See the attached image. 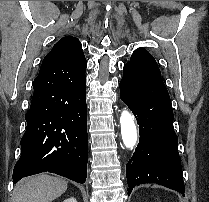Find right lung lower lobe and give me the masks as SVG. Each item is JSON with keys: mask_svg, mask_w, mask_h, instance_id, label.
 <instances>
[{"mask_svg": "<svg viewBox=\"0 0 209 202\" xmlns=\"http://www.w3.org/2000/svg\"><path fill=\"white\" fill-rule=\"evenodd\" d=\"M59 61L44 58L33 82L26 131L13 181L51 172L78 183L87 177L86 77L73 79L54 70Z\"/></svg>", "mask_w": 209, "mask_h": 202, "instance_id": "obj_1", "label": "right lung lower lobe"}]
</instances>
